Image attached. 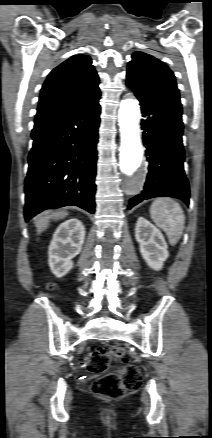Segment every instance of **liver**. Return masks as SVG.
Wrapping results in <instances>:
<instances>
[{
    "mask_svg": "<svg viewBox=\"0 0 212 438\" xmlns=\"http://www.w3.org/2000/svg\"><path fill=\"white\" fill-rule=\"evenodd\" d=\"M67 215H68V212L64 211V210H59V211L52 212V213L42 214L41 216H39L35 220V226H36L37 233L40 234L43 231H45L49 226L50 220H59V219L66 217Z\"/></svg>",
    "mask_w": 212,
    "mask_h": 438,
    "instance_id": "obj_1",
    "label": "liver"
}]
</instances>
